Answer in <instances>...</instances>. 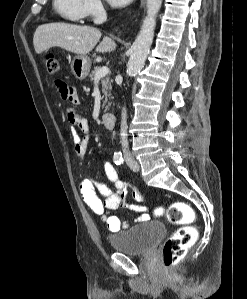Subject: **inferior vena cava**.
I'll use <instances>...</instances> for the list:
<instances>
[{
    "instance_id": "obj_1",
    "label": "inferior vena cava",
    "mask_w": 247,
    "mask_h": 299,
    "mask_svg": "<svg viewBox=\"0 0 247 299\" xmlns=\"http://www.w3.org/2000/svg\"><path fill=\"white\" fill-rule=\"evenodd\" d=\"M120 136H121V144H122V150L124 153H127L129 151L128 146V140H127V113L126 109L123 108L122 114H121V129H120Z\"/></svg>"
}]
</instances>
